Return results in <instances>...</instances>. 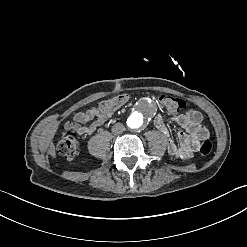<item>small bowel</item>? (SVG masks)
I'll list each match as a JSON object with an SVG mask.
<instances>
[{
  "instance_id": "obj_1",
  "label": "small bowel",
  "mask_w": 247,
  "mask_h": 247,
  "mask_svg": "<svg viewBox=\"0 0 247 247\" xmlns=\"http://www.w3.org/2000/svg\"><path fill=\"white\" fill-rule=\"evenodd\" d=\"M107 119L108 113L101 107H91L86 111L77 112L66 121L64 128L78 135H90L102 127ZM171 120L180 125L184 131L173 134L166 119L161 115L155 117L154 125L167 138L169 154L180 159H189L199 151L201 141L206 136L207 130L202 125V115L199 111L191 109L172 117ZM88 122L91 123L87 124Z\"/></svg>"
}]
</instances>
